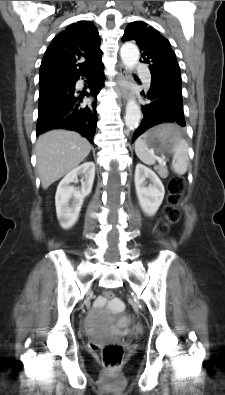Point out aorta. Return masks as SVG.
I'll list each match as a JSON object with an SVG mask.
<instances>
[{"label": "aorta", "mask_w": 225, "mask_h": 395, "mask_svg": "<svg viewBox=\"0 0 225 395\" xmlns=\"http://www.w3.org/2000/svg\"><path fill=\"white\" fill-rule=\"evenodd\" d=\"M123 64L129 70L133 69L139 61V49L136 45L125 43L120 49ZM141 119V110L134 99H130L126 105L125 125L129 129L138 126Z\"/></svg>", "instance_id": "aorta-1"}]
</instances>
